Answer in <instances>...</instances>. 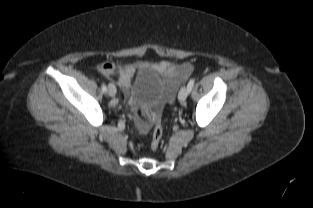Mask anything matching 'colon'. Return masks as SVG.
I'll return each mask as SVG.
<instances>
[{"label":"colon","mask_w":313,"mask_h":208,"mask_svg":"<svg viewBox=\"0 0 313 208\" xmlns=\"http://www.w3.org/2000/svg\"><path fill=\"white\" fill-rule=\"evenodd\" d=\"M140 113L144 118L151 121L154 125L150 147L152 151H156L160 146L163 136V129L160 118L150 108L147 107H142Z\"/></svg>","instance_id":"1"}]
</instances>
